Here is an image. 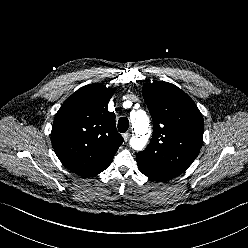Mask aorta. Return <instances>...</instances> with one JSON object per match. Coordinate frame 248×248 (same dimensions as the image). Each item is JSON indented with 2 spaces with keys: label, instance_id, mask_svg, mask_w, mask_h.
Returning a JSON list of instances; mask_svg holds the SVG:
<instances>
[{
  "label": "aorta",
  "instance_id": "aorta-1",
  "mask_svg": "<svg viewBox=\"0 0 248 248\" xmlns=\"http://www.w3.org/2000/svg\"><path fill=\"white\" fill-rule=\"evenodd\" d=\"M131 122L135 132L132 147L142 150L149 135V118L146 112L140 109L131 114Z\"/></svg>",
  "mask_w": 248,
  "mask_h": 248
}]
</instances>
